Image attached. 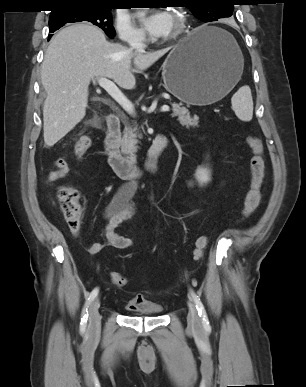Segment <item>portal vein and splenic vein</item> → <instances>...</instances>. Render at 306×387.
<instances>
[{
    "label": "portal vein and splenic vein",
    "mask_w": 306,
    "mask_h": 387,
    "mask_svg": "<svg viewBox=\"0 0 306 387\" xmlns=\"http://www.w3.org/2000/svg\"><path fill=\"white\" fill-rule=\"evenodd\" d=\"M98 84L102 87L127 113L134 114V106L132 102L120 91L114 82L107 78H97ZM170 110L168 105H163L161 112H168Z\"/></svg>",
    "instance_id": "portal-vein-and-splenic-vein-1"
}]
</instances>
